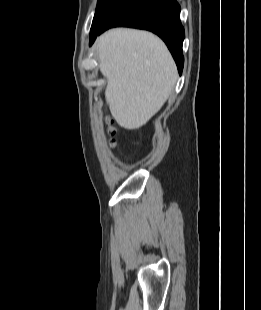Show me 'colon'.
I'll use <instances>...</instances> for the list:
<instances>
[{"label":"colon","mask_w":261,"mask_h":310,"mask_svg":"<svg viewBox=\"0 0 261 310\" xmlns=\"http://www.w3.org/2000/svg\"><path fill=\"white\" fill-rule=\"evenodd\" d=\"M109 131H110L111 134H114V133H115V129L113 128V126H110V127H109ZM111 144H112V145H115V141L112 140V141H111Z\"/></svg>","instance_id":"1"}]
</instances>
